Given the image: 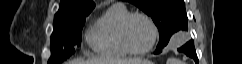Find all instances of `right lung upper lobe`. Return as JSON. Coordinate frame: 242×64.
Listing matches in <instances>:
<instances>
[{"label": "right lung upper lobe", "mask_w": 242, "mask_h": 64, "mask_svg": "<svg viewBox=\"0 0 242 64\" xmlns=\"http://www.w3.org/2000/svg\"><path fill=\"white\" fill-rule=\"evenodd\" d=\"M94 7L95 3L92 0H61L54 21L58 22L77 18L90 13Z\"/></svg>", "instance_id": "right-lung-upper-lobe-1"}]
</instances>
